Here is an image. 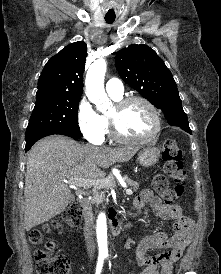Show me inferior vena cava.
<instances>
[{
    "mask_svg": "<svg viewBox=\"0 0 221 274\" xmlns=\"http://www.w3.org/2000/svg\"><path fill=\"white\" fill-rule=\"evenodd\" d=\"M91 235H92V233H91ZM94 250H95V244L91 238L90 242L87 243V251H88V254L90 255V257L93 255Z\"/></svg>",
    "mask_w": 221,
    "mask_h": 274,
    "instance_id": "obj_1",
    "label": "inferior vena cava"
}]
</instances>
